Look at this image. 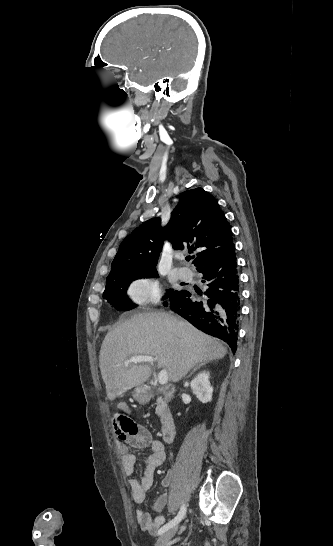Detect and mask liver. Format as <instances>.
<instances>
[{"label": "liver", "mask_w": 333, "mask_h": 546, "mask_svg": "<svg viewBox=\"0 0 333 546\" xmlns=\"http://www.w3.org/2000/svg\"><path fill=\"white\" fill-rule=\"evenodd\" d=\"M227 349L188 322L165 312L139 313L112 329L101 345L99 365L110 401L143 384L151 374L146 363L125 366L130 356L149 355L172 382L196 364L222 359Z\"/></svg>", "instance_id": "obj_1"}]
</instances>
